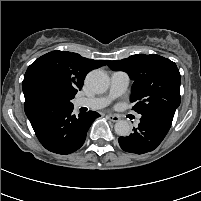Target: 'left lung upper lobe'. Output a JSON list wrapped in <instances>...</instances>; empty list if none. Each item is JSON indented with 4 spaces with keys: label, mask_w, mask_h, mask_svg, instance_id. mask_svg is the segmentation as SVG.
I'll list each match as a JSON object with an SVG mask.
<instances>
[{
    "label": "left lung upper lobe",
    "mask_w": 201,
    "mask_h": 201,
    "mask_svg": "<svg viewBox=\"0 0 201 201\" xmlns=\"http://www.w3.org/2000/svg\"><path fill=\"white\" fill-rule=\"evenodd\" d=\"M107 64L114 71L127 72L134 80L130 100L137 113L175 114L181 100V76L174 62L156 54H138Z\"/></svg>",
    "instance_id": "obj_1"
}]
</instances>
